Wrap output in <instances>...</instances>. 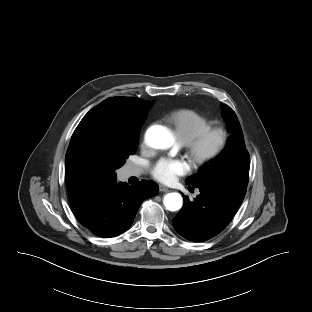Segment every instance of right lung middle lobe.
<instances>
[{
  "label": "right lung middle lobe",
  "mask_w": 312,
  "mask_h": 312,
  "mask_svg": "<svg viewBox=\"0 0 312 312\" xmlns=\"http://www.w3.org/2000/svg\"><path fill=\"white\" fill-rule=\"evenodd\" d=\"M147 115L133 122L98 118L78 126L66 153L71 176L88 182L115 181V170L136 152Z\"/></svg>",
  "instance_id": "right-lung-middle-lobe-1"
}]
</instances>
